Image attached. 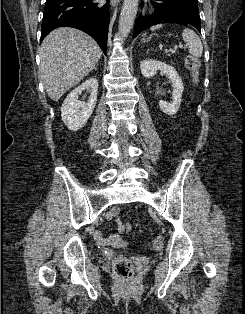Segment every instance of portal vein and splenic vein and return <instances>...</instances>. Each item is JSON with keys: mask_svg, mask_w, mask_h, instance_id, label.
Masks as SVG:
<instances>
[{"mask_svg": "<svg viewBox=\"0 0 245 314\" xmlns=\"http://www.w3.org/2000/svg\"><path fill=\"white\" fill-rule=\"evenodd\" d=\"M177 47H179L180 49H184L185 46H183L182 44H179L178 46H175L174 49H176Z\"/></svg>", "mask_w": 245, "mask_h": 314, "instance_id": "portal-vein-and-splenic-vein-1", "label": "portal vein and splenic vein"}]
</instances>
